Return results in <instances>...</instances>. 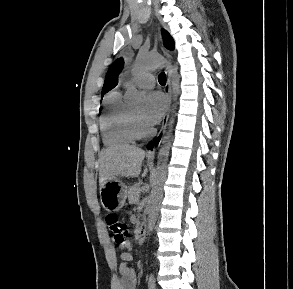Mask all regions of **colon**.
Segmentation results:
<instances>
[{
    "label": "colon",
    "instance_id": "1",
    "mask_svg": "<svg viewBox=\"0 0 293 289\" xmlns=\"http://www.w3.org/2000/svg\"><path fill=\"white\" fill-rule=\"evenodd\" d=\"M106 224L115 241L122 246H126L129 237L126 223L114 215H107Z\"/></svg>",
    "mask_w": 293,
    "mask_h": 289
}]
</instances>
